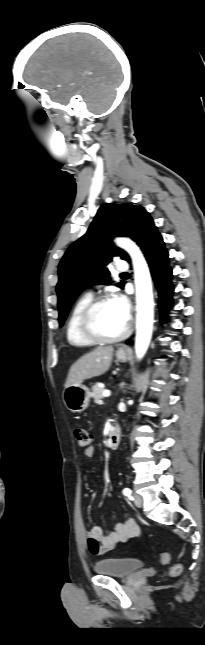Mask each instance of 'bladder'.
<instances>
[{"instance_id":"31cf9c89","label":"bladder","mask_w":205,"mask_h":645,"mask_svg":"<svg viewBox=\"0 0 205 645\" xmlns=\"http://www.w3.org/2000/svg\"><path fill=\"white\" fill-rule=\"evenodd\" d=\"M144 567V563L136 558H106L94 565L96 573L101 575H110L116 577H128L139 572Z\"/></svg>"}]
</instances>
